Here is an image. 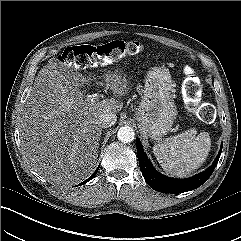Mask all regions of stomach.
<instances>
[{"instance_id": "obj_1", "label": "stomach", "mask_w": 241, "mask_h": 241, "mask_svg": "<svg viewBox=\"0 0 241 241\" xmlns=\"http://www.w3.org/2000/svg\"><path fill=\"white\" fill-rule=\"evenodd\" d=\"M173 92L174 82L166 69L154 68L148 72L135 114L143 137L158 139L171 130L178 114Z\"/></svg>"}]
</instances>
